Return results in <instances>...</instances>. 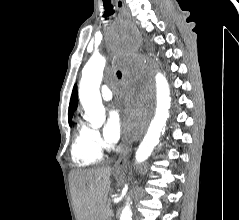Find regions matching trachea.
Returning a JSON list of instances; mask_svg holds the SVG:
<instances>
[{
	"label": "trachea",
	"instance_id": "trachea-1",
	"mask_svg": "<svg viewBox=\"0 0 239 220\" xmlns=\"http://www.w3.org/2000/svg\"><path fill=\"white\" fill-rule=\"evenodd\" d=\"M103 5H104V14L103 17L104 18H108L109 16L114 14V9L113 6L111 4V0H103ZM117 76L120 79L121 78V72L117 71Z\"/></svg>",
	"mask_w": 239,
	"mask_h": 220
}]
</instances>
